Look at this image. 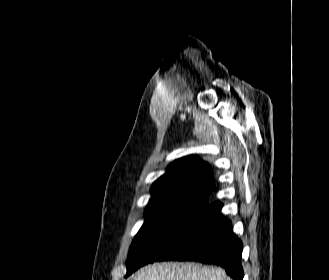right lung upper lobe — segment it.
<instances>
[{
	"mask_svg": "<svg viewBox=\"0 0 329 280\" xmlns=\"http://www.w3.org/2000/svg\"><path fill=\"white\" fill-rule=\"evenodd\" d=\"M212 183L208 164L190 155L174 161L152 185L149 206L171 198L206 200Z\"/></svg>",
	"mask_w": 329,
	"mask_h": 280,
	"instance_id": "right-lung-upper-lobe-1",
	"label": "right lung upper lobe"
}]
</instances>
